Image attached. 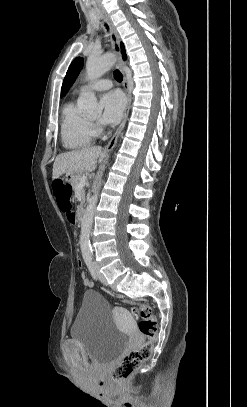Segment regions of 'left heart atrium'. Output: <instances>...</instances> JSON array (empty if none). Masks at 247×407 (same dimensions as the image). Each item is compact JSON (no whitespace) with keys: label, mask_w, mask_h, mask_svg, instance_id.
<instances>
[{"label":"left heart atrium","mask_w":247,"mask_h":407,"mask_svg":"<svg viewBox=\"0 0 247 407\" xmlns=\"http://www.w3.org/2000/svg\"><path fill=\"white\" fill-rule=\"evenodd\" d=\"M102 115L100 121L103 124H116L121 118L125 100L119 91H111L106 93L101 99Z\"/></svg>","instance_id":"obj_1"}]
</instances>
